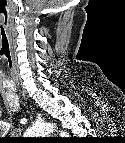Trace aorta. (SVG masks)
<instances>
[{
  "label": "aorta",
  "mask_w": 125,
  "mask_h": 143,
  "mask_svg": "<svg viewBox=\"0 0 125 143\" xmlns=\"http://www.w3.org/2000/svg\"><path fill=\"white\" fill-rule=\"evenodd\" d=\"M54 126L50 123H37L28 130L29 135L45 136L53 131Z\"/></svg>",
  "instance_id": "obj_1"
}]
</instances>
